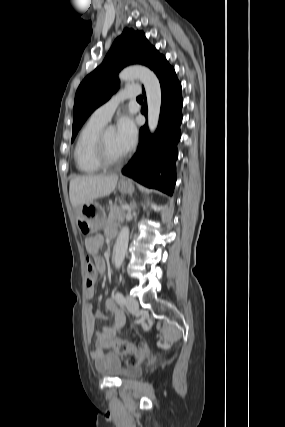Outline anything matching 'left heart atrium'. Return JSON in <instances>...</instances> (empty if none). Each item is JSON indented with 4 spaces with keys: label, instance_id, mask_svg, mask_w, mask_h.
Listing matches in <instances>:
<instances>
[{
    "label": "left heart atrium",
    "instance_id": "1",
    "mask_svg": "<svg viewBox=\"0 0 285 427\" xmlns=\"http://www.w3.org/2000/svg\"><path fill=\"white\" fill-rule=\"evenodd\" d=\"M116 138L119 145L126 153L135 146L137 129L130 117L123 116L119 119L116 129Z\"/></svg>",
    "mask_w": 285,
    "mask_h": 427
}]
</instances>
